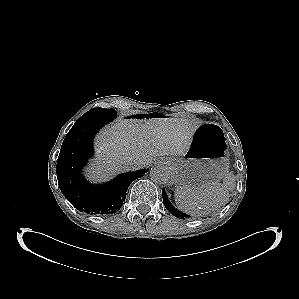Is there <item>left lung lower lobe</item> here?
Listing matches in <instances>:
<instances>
[{"label": "left lung lower lobe", "mask_w": 299, "mask_h": 299, "mask_svg": "<svg viewBox=\"0 0 299 299\" xmlns=\"http://www.w3.org/2000/svg\"><path fill=\"white\" fill-rule=\"evenodd\" d=\"M162 197H163L164 206L172 215L180 219H186L190 217L189 215L179 211L178 209H175V207L169 202L165 189H162Z\"/></svg>", "instance_id": "0a47b994"}]
</instances>
